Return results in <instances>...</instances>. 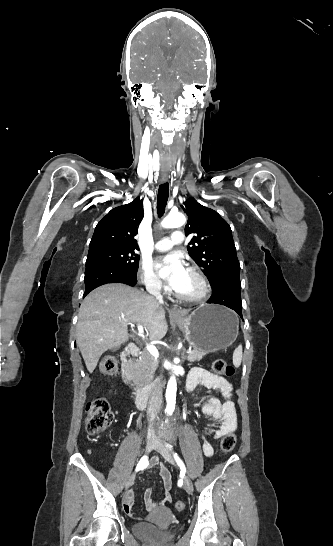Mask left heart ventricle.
Masks as SVG:
<instances>
[{
	"label": "left heart ventricle",
	"mask_w": 333,
	"mask_h": 546,
	"mask_svg": "<svg viewBox=\"0 0 333 546\" xmlns=\"http://www.w3.org/2000/svg\"><path fill=\"white\" fill-rule=\"evenodd\" d=\"M202 286L197 277L189 272L187 282L179 293L187 296H194L201 292Z\"/></svg>",
	"instance_id": "1"
}]
</instances>
